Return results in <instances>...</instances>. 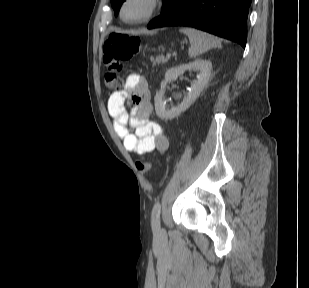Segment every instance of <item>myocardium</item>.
Listing matches in <instances>:
<instances>
[{
	"mask_svg": "<svg viewBox=\"0 0 309 288\" xmlns=\"http://www.w3.org/2000/svg\"><path fill=\"white\" fill-rule=\"evenodd\" d=\"M130 1L131 0H123L122 4L120 6V11H119L120 18L122 19V21L125 22L126 24H130V25L142 24V23L149 21L150 19L155 17L165 6V0H147L149 6H148V10H147L146 14L139 19L128 20V19L125 18L124 12H125V8H126L127 4Z\"/></svg>",
	"mask_w": 309,
	"mask_h": 288,
	"instance_id": "f54148a6",
	"label": "myocardium"
}]
</instances>
